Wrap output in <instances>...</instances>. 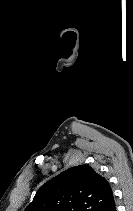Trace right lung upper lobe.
Returning <instances> with one entry per match:
<instances>
[{
	"mask_svg": "<svg viewBox=\"0 0 133 211\" xmlns=\"http://www.w3.org/2000/svg\"><path fill=\"white\" fill-rule=\"evenodd\" d=\"M108 181L88 165L74 166L46 182L25 211H111Z\"/></svg>",
	"mask_w": 133,
	"mask_h": 211,
	"instance_id": "obj_1",
	"label": "right lung upper lobe"
}]
</instances>
